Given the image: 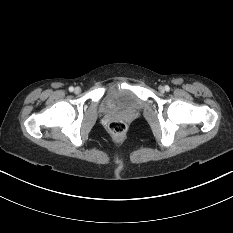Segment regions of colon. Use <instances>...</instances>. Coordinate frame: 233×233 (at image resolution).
<instances>
[{
	"mask_svg": "<svg viewBox=\"0 0 233 233\" xmlns=\"http://www.w3.org/2000/svg\"><path fill=\"white\" fill-rule=\"evenodd\" d=\"M109 132L116 137L123 136L126 132V125L119 120L113 121L109 124Z\"/></svg>",
	"mask_w": 233,
	"mask_h": 233,
	"instance_id": "1",
	"label": "colon"
}]
</instances>
